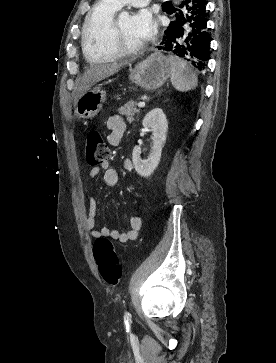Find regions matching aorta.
I'll return each instance as SVG.
<instances>
[{"label":"aorta","mask_w":276,"mask_h":363,"mask_svg":"<svg viewBox=\"0 0 276 363\" xmlns=\"http://www.w3.org/2000/svg\"><path fill=\"white\" fill-rule=\"evenodd\" d=\"M119 17L120 18H128L129 17V14L126 11H123V12H121V14H120Z\"/></svg>","instance_id":"1"}]
</instances>
